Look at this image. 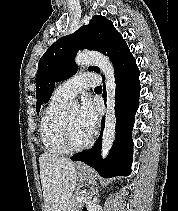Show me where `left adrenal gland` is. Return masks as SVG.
Listing matches in <instances>:
<instances>
[{
  "label": "left adrenal gland",
  "instance_id": "a2214340",
  "mask_svg": "<svg viewBox=\"0 0 178 211\" xmlns=\"http://www.w3.org/2000/svg\"><path fill=\"white\" fill-rule=\"evenodd\" d=\"M98 194H99L98 188H95L93 190V195L98 196Z\"/></svg>",
  "mask_w": 178,
  "mask_h": 211
}]
</instances>
